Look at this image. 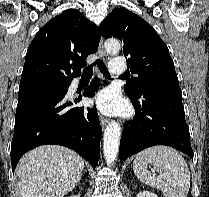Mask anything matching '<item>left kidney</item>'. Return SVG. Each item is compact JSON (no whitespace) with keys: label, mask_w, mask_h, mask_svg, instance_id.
I'll list each match as a JSON object with an SVG mask.
<instances>
[{"label":"left kidney","mask_w":209,"mask_h":197,"mask_svg":"<svg viewBox=\"0 0 209 197\" xmlns=\"http://www.w3.org/2000/svg\"><path fill=\"white\" fill-rule=\"evenodd\" d=\"M137 197H158L156 194H154V193H152V192H150V191H142V192H140L138 195H137Z\"/></svg>","instance_id":"1"}]
</instances>
